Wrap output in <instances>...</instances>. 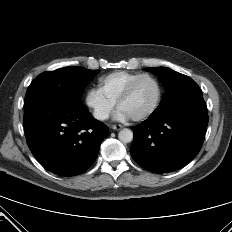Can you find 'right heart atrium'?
Returning a JSON list of instances; mask_svg holds the SVG:
<instances>
[{"label": "right heart atrium", "mask_w": 232, "mask_h": 232, "mask_svg": "<svg viewBox=\"0 0 232 232\" xmlns=\"http://www.w3.org/2000/svg\"><path fill=\"white\" fill-rule=\"evenodd\" d=\"M85 104L92 116L100 122L106 121L115 108V104L109 101L98 88L94 87L86 91Z\"/></svg>", "instance_id": "right-heart-atrium-1"}]
</instances>
